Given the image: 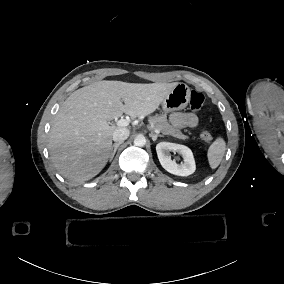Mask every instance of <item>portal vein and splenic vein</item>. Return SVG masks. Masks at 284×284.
<instances>
[{
	"label": "portal vein and splenic vein",
	"mask_w": 284,
	"mask_h": 284,
	"mask_svg": "<svg viewBox=\"0 0 284 284\" xmlns=\"http://www.w3.org/2000/svg\"><path fill=\"white\" fill-rule=\"evenodd\" d=\"M129 123H130V121H128V120H126V119H120V120H118V122H117V126L126 127V126L129 125ZM155 132H156V133H160L159 130H155Z\"/></svg>",
	"instance_id": "1"
}]
</instances>
